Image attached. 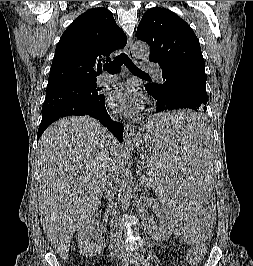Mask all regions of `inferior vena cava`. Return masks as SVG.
<instances>
[{
    "label": "inferior vena cava",
    "mask_w": 253,
    "mask_h": 266,
    "mask_svg": "<svg viewBox=\"0 0 253 266\" xmlns=\"http://www.w3.org/2000/svg\"><path fill=\"white\" fill-rule=\"evenodd\" d=\"M110 175L111 172L106 177L105 183H104V192L106 196H110L112 192V181H110ZM111 215V226H112V238H113V248H114V253L115 255L120 258L124 259L126 258L125 251L122 248V231L118 229L117 224H116V210L112 209L110 212Z\"/></svg>",
    "instance_id": "obj_1"
}]
</instances>
